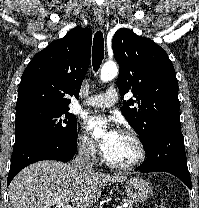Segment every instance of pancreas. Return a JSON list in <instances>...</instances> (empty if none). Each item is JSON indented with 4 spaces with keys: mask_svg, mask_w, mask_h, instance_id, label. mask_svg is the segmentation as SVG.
I'll use <instances>...</instances> for the list:
<instances>
[{
    "mask_svg": "<svg viewBox=\"0 0 199 208\" xmlns=\"http://www.w3.org/2000/svg\"><path fill=\"white\" fill-rule=\"evenodd\" d=\"M126 203H127V208H133V206H134V201L127 200Z\"/></svg>",
    "mask_w": 199,
    "mask_h": 208,
    "instance_id": "pancreas-1",
    "label": "pancreas"
}]
</instances>
